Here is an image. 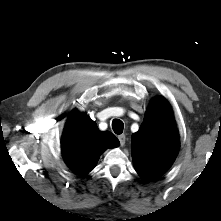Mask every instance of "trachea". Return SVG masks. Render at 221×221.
Segmentation results:
<instances>
[{
  "mask_svg": "<svg viewBox=\"0 0 221 221\" xmlns=\"http://www.w3.org/2000/svg\"><path fill=\"white\" fill-rule=\"evenodd\" d=\"M124 124L119 119H114L112 121V129L116 134H121L123 132Z\"/></svg>",
  "mask_w": 221,
  "mask_h": 221,
  "instance_id": "3493384b",
  "label": "trachea"
}]
</instances>
